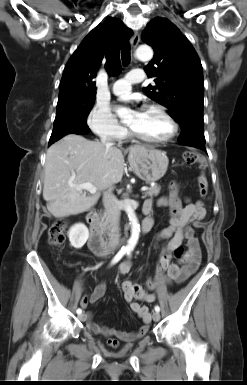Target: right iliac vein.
Listing matches in <instances>:
<instances>
[{"mask_svg": "<svg viewBox=\"0 0 247 385\" xmlns=\"http://www.w3.org/2000/svg\"><path fill=\"white\" fill-rule=\"evenodd\" d=\"M79 319H80L81 321H85V320H86L85 314L83 313V314L79 315Z\"/></svg>", "mask_w": 247, "mask_h": 385, "instance_id": "1", "label": "right iliac vein"}]
</instances>
